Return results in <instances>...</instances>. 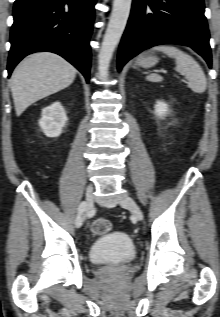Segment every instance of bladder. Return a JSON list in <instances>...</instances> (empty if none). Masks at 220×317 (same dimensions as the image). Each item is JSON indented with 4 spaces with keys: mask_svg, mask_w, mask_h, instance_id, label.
<instances>
[{
    "mask_svg": "<svg viewBox=\"0 0 220 317\" xmlns=\"http://www.w3.org/2000/svg\"><path fill=\"white\" fill-rule=\"evenodd\" d=\"M136 248L131 238L112 231L96 238L89 248V259L95 264H121L133 260Z\"/></svg>",
    "mask_w": 220,
    "mask_h": 317,
    "instance_id": "1",
    "label": "bladder"
}]
</instances>
